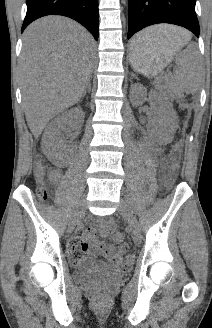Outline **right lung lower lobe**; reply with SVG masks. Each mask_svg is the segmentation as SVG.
<instances>
[{
  "label": "right lung lower lobe",
  "mask_w": 212,
  "mask_h": 328,
  "mask_svg": "<svg viewBox=\"0 0 212 328\" xmlns=\"http://www.w3.org/2000/svg\"><path fill=\"white\" fill-rule=\"evenodd\" d=\"M52 14L67 16L78 21L98 40V0H27V13L21 32L32 21Z\"/></svg>",
  "instance_id": "obj_1"
}]
</instances>
